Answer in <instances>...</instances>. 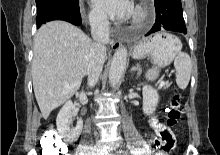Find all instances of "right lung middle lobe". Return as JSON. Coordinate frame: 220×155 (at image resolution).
I'll return each mask as SVG.
<instances>
[{"label":"right lung middle lobe","mask_w":220,"mask_h":155,"mask_svg":"<svg viewBox=\"0 0 220 155\" xmlns=\"http://www.w3.org/2000/svg\"><path fill=\"white\" fill-rule=\"evenodd\" d=\"M36 6L37 14L57 7L77 9L79 0H36Z\"/></svg>","instance_id":"1"}]
</instances>
